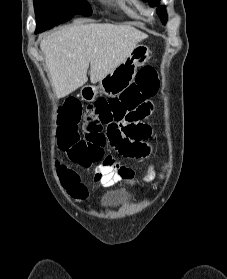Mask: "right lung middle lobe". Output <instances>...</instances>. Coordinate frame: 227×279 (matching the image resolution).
I'll use <instances>...</instances> for the list:
<instances>
[{
  "label": "right lung middle lobe",
  "instance_id": "obj_1",
  "mask_svg": "<svg viewBox=\"0 0 227 279\" xmlns=\"http://www.w3.org/2000/svg\"><path fill=\"white\" fill-rule=\"evenodd\" d=\"M34 9L38 32L70 20L79 10L84 16L92 13L85 0H34Z\"/></svg>",
  "mask_w": 227,
  "mask_h": 279
}]
</instances>
